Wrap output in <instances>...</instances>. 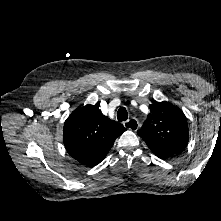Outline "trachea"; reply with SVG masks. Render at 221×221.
Here are the masks:
<instances>
[{
  "instance_id": "3493384b",
  "label": "trachea",
  "mask_w": 221,
  "mask_h": 221,
  "mask_svg": "<svg viewBox=\"0 0 221 221\" xmlns=\"http://www.w3.org/2000/svg\"><path fill=\"white\" fill-rule=\"evenodd\" d=\"M117 119L119 122L126 121L128 119V112L126 108L121 107L117 112Z\"/></svg>"
}]
</instances>
